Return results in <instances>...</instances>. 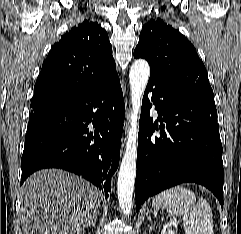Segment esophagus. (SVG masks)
Here are the masks:
<instances>
[{
    "mask_svg": "<svg viewBox=\"0 0 241 234\" xmlns=\"http://www.w3.org/2000/svg\"><path fill=\"white\" fill-rule=\"evenodd\" d=\"M128 120H129V117L127 116V119H126L125 124H124L125 131H127V128H128Z\"/></svg>",
    "mask_w": 241,
    "mask_h": 234,
    "instance_id": "esophagus-1",
    "label": "esophagus"
}]
</instances>
